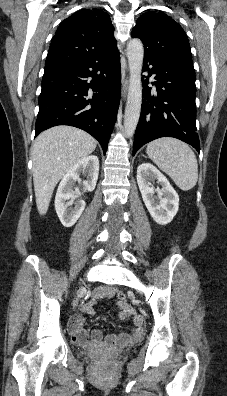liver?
Here are the masks:
<instances>
[{
	"mask_svg": "<svg viewBox=\"0 0 227 396\" xmlns=\"http://www.w3.org/2000/svg\"><path fill=\"white\" fill-rule=\"evenodd\" d=\"M96 140L75 127L56 126L42 132L33 144V182L36 205L45 215L60 179L96 148Z\"/></svg>",
	"mask_w": 227,
	"mask_h": 396,
	"instance_id": "liver-1",
	"label": "liver"
}]
</instances>
